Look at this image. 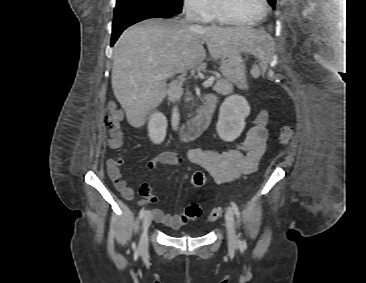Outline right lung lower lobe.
<instances>
[{
    "label": "right lung lower lobe",
    "instance_id": "1",
    "mask_svg": "<svg viewBox=\"0 0 366 283\" xmlns=\"http://www.w3.org/2000/svg\"><path fill=\"white\" fill-rule=\"evenodd\" d=\"M176 15L157 6H127L115 8L111 45L127 27L149 18H170Z\"/></svg>",
    "mask_w": 366,
    "mask_h": 283
}]
</instances>
